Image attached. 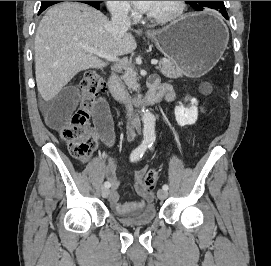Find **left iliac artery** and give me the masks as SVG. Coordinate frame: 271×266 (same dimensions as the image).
<instances>
[{"label": "left iliac artery", "mask_w": 271, "mask_h": 266, "mask_svg": "<svg viewBox=\"0 0 271 266\" xmlns=\"http://www.w3.org/2000/svg\"><path fill=\"white\" fill-rule=\"evenodd\" d=\"M152 145H153V142H151V143L149 144V147L152 148ZM162 189L167 191V190H168V185H167V184H164V185L162 186Z\"/></svg>", "instance_id": "44dca946"}]
</instances>
